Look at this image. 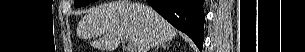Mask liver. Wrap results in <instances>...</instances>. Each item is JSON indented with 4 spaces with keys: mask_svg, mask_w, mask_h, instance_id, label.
Returning a JSON list of instances; mask_svg holds the SVG:
<instances>
[{
    "mask_svg": "<svg viewBox=\"0 0 305 52\" xmlns=\"http://www.w3.org/2000/svg\"><path fill=\"white\" fill-rule=\"evenodd\" d=\"M77 34L93 39L90 45L104 52L115 50L121 39L133 41L138 52H148L171 41L177 30L151 7L117 0L89 10L80 20Z\"/></svg>",
    "mask_w": 305,
    "mask_h": 52,
    "instance_id": "obj_1",
    "label": "liver"
}]
</instances>
